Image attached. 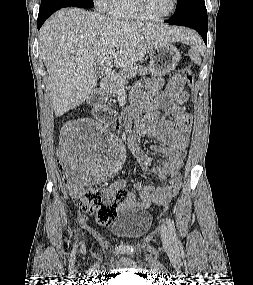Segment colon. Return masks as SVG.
I'll return each instance as SVG.
<instances>
[{"instance_id": "1", "label": "colon", "mask_w": 253, "mask_h": 285, "mask_svg": "<svg viewBox=\"0 0 253 285\" xmlns=\"http://www.w3.org/2000/svg\"><path fill=\"white\" fill-rule=\"evenodd\" d=\"M183 79L189 86L194 85V74L190 68L181 70ZM112 118V117H111ZM69 144L65 140L61 141L60 149L57 150L58 167L57 172H64L61 180H66L69 194L76 206L88 214H95L100 223L106 224L113 220L117 207L127 200L128 192L125 188H89L77 183L71 171H67L69 159Z\"/></svg>"}]
</instances>
